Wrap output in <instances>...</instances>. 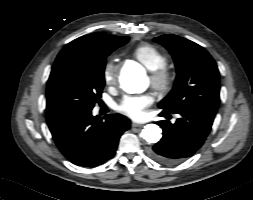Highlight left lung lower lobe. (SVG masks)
<instances>
[{"instance_id": "1", "label": "left lung lower lobe", "mask_w": 253, "mask_h": 200, "mask_svg": "<svg viewBox=\"0 0 253 200\" xmlns=\"http://www.w3.org/2000/svg\"><path fill=\"white\" fill-rule=\"evenodd\" d=\"M166 114L170 113L163 110L160 116ZM178 114L180 118L174 124L168 120L157 122L163 130V137L149 150V155L160 163L175 164L192 156L204 143L216 115L206 110Z\"/></svg>"}]
</instances>
